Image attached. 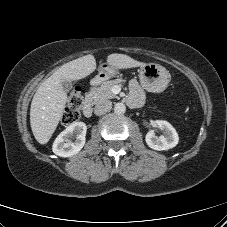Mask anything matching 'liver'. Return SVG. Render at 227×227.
Returning a JSON list of instances; mask_svg holds the SVG:
<instances>
[{
	"mask_svg": "<svg viewBox=\"0 0 227 227\" xmlns=\"http://www.w3.org/2000/svg\"><path fill=\"white\" fill-rule=\"evenodd\" d=\"M107 63L115 69H128L145 65L124 54H110ZM96 69L93 55H86L62 65L37 89L30 108V124L35 139L46 144L63 115L67 94L62 81H74L85 78Z\"/></svg>",
	"mask_w": 227,
	"mask_h": 227,
	"instance_id": "1",
	"label": "liver"
}]
</instances>
